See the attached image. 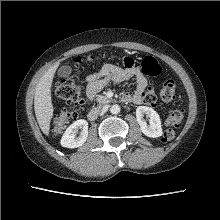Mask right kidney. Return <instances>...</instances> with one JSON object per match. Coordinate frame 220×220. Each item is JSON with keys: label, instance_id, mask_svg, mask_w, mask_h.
Listing matches in <instances>:
<instances>
[{"label": "right kidney", "instance_id": "ca27d5eb", "mask_svg": "<svg viewBox=\"0 0 220 220\" xmlns=\"http://www.w3.org/2000/svg\"><path fill=\"white\" fill-rule=\"evenodd\" d=\"M82 128L79 137H76L77 131ZM88 137V123L80 119L72 123L65 131L61 138V145L66 148H77L82 146Z\"/></svg>", "mask_w": 220, "mask_h": 220}]
</instances>
